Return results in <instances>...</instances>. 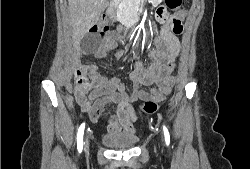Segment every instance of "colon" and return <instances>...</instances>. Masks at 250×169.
<instances>
[{
    "label": "colon",
    "mask_w": 250,
    "mask_h": 169,
    "mask_svg": "<svg viewBox=\"0 0 250 169\" xmlns=\"http://www.w3.org/2000/svg\"><path fill=\"white\" fill-rule=\"evenodd\" d=\"M166 8L169 10H174L179 8L182 5V0H164ZM174 32H180L182 30L181 23L176 21L173 26ZM108 31V26L104 24L93 25L90 28V40L87 44L94 49L97 46V38L100 36H104ZM75 84L79 87L83 86L86 83V77L81 71L74 72ZM158 95H165V93H158ZM160 98L152 97L150 99V103H144L141 106L144 108H158V104L160 102ZM144 114H153V109H144Z\"/></svg>",
    "instance_id": "obj_1"
}]
</instances>
